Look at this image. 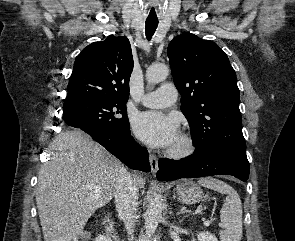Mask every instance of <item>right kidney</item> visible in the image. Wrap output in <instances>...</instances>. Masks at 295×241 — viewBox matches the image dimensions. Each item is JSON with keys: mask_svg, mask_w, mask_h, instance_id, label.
<instances>
[{"mask_svg": "<svg viewBox=\"0 0 295 241\" xmlns=\"http://www.w3.org/2000/svg\"><path fill=\"white\" fill-rule=\"evenodd\" d=\"M95 241H111V239L107 235H98L95 238Z\"/></svg>", "mask_w": 295, "mask_h": 241, "instance_id": "obj_1", "label": "right kidney"}]
</instances>
